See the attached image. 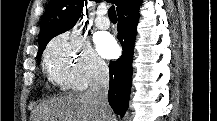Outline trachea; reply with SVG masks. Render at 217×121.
Listing matches in <instances>:
<instances>
[{"label":"trachea","mask_w":217,"mask_h":121,"mask_svg":"<svg viewBox=\"0 0 217 121\" xmlns=\"http://www.w3.org/2000/svg\"><path fill=\"white\" fill-rule=\"evenodd\" d=\"M108 16H109L110 19H117V15H116V11H115L114 5H112V6L108 9Z\"/></svg>","instance_id":"3493384b"}]
</instances>
